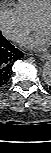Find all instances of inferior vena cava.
I'll list each match as a JSON object with an SVG mask.
<instances>
[{
	"label": "inferior vena cava",
	"mask_w": 51,
	"mask_h": 153,
	"mask_svg": "<svg viewBox=\"0 0 51 153\" xmlns=\"http://www.w3.org/2000/svg\"><path fill=\"white\" fill-rule=\"evenodd\" d=\"M5 36L7 39L15 41L19 38L20 35L18 32L11 30Z\"/></svg>",
	"instance_id": "1"
}]
</instances>
